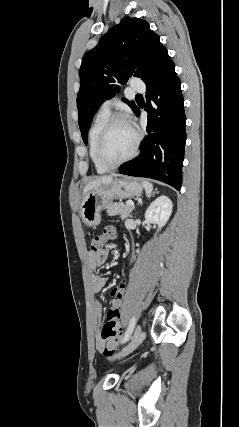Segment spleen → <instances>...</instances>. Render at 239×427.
Masks as SVG:
<instances>
[{
    "instance_id": "spleen-1",
    "label": "spleen",
    "mask_w": 239,
    "mask_h": 427,
    "mask_svg": "<svg viewBox=\"0 0 239 427\" xmlns=\"http://www.w3.org/2000/svg\"><path fill=\"white\" fill-rule=\"evenodd\" d=\"M142 186L145 189L146 195L150 197L153 190V185L148 181H142Z\"/></svg>"
}]
</instances>
